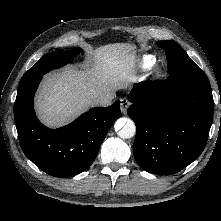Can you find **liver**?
Segmentation results:
<instances>
[{
  "label": "liver",
  "mask_w": 221,
  "mask_h": 221,
  "mask_svg": "<svg viewBox=\"0 0 221 221\" xmlns=\"http://www.w3.org/2000/svg\"><path fill=\"white\" fill-rule=\"evenodd\" d=\"M134 46L115 43L97 48L91 69L66 68L48 75L36 96V111L48 127H59L95 105L94 99L114 93L133 79Z\"/></svg>",
  "instance_id": "1"
}]
</instances>
